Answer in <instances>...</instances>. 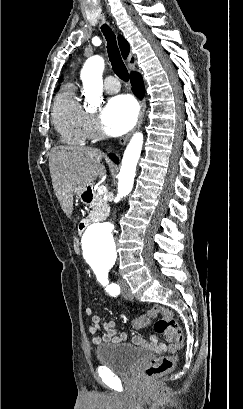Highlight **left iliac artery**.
<instances>
[{"mask_svg": "<svg viewBox=\"0 0 243 409\" xmlns=\"http://www.w3.org/2000/svg\"><path fill=\"white\" fill-rule=\"evenodd\" d=\"M97 280L105 286V289L107 292H109L112 296H116L120 293V287L115 284L111 283L109 284L108 280V271L106 270H100V271H95Z\"/></svg>", "mask_w": 243, "mask_h": 409, "instance_id": "left-iliac-artery-1", "label": "left iliac artery"}]
</instances>
